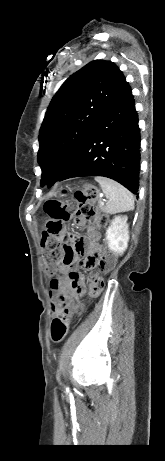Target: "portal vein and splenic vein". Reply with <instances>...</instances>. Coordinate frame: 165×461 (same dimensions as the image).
<instances>
[{
	"label": "portal vein and splenic vein",
	"instance_id": "1",
	"mask_svg": "<svg viewBox=\"0 0 165 461\" xmlns=\"http://www.w3.org/2000/svg\"><path fill=\"white\" fill-rule=\"evenodd\" d=\"M103 201H106V200H103ZM103 201H100V204H102V205H103V204H104V202H103Z\"/></svg>",
	"mask_w": 165,
	"mask_h": 461
}]
</instances>
